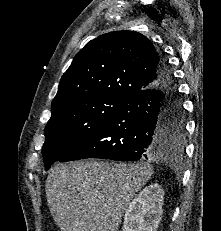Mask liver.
Listing matches in <instances>:
<instances>
[{"instance_id":"6515ba94","label":"liver","mask_w":221,"mask_h":231,"mask_svg":"<svg viewBox=\"0 0 221 231\" xmlns=\"http://www.w3.org/2000/svg\"><path fill=\"white\" fill-rule=\"evenodd\" d=\"M152 174L149 163L56 164L45 185L50 212L61 231H118L126 207Z\"/></svg>"}]
</instances>
